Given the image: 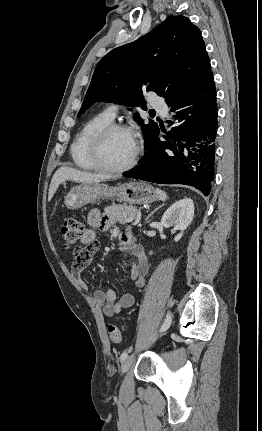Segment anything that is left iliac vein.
<instances>
[{
	"instance_id": "left-iliac-vein-1",
	"label": "left iliac vein",
	"mask_w": 262,
	"mask_h": 431,
	"mask_svg": "<svg viewBox=\"0 0 262 431\" xmlns=\"http://www.w3.org/2000/svg\"><path fill=\"white\" fill-rule=\"evenodd\" d=\"M133 361H134V355L132 354V355L128 356V357H127V358L122 362V365H121V373H122V374H125V373L129 370V368L131 367V365H132Z\"/></svg>"
}]
</instances>
